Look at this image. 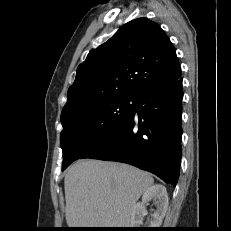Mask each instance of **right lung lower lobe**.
Here are the masks:
<instances>
[{
  "instance_id": "right-lung-lower-lobe-1",
  "label": "right lung lower lobe",
  "mask_w": 231,
  "mask_h": 231,
  "mask_svg": "<svg viewBox=\"0 0 231 231\" xmlns=\"http://www.w3.org/2000/svg\"><path fill=\"white\" fill-rule=\"evenodd\" d=\"M135 98L128 121L81 158L131 164L175 186L181 163L182 79L148 87Z\"/></svg>"
}]
</instances>
